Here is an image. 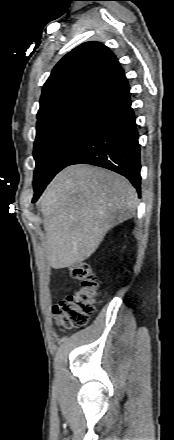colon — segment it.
<instances>
[{
    "label": "colon",
    "mask_w": 174,
    "mask_h": 440,
    "mask_svg": "<svg viewBox=\"0 0 174 440\" xmlns=\"http://www.w3.org/2000/svg\"><path fill=\"white\" fill-rule=\"evenodd\" d=\"M70 274L79 281V287L64 300L57 303L54 316L65 329L82 328L93 312V304L100 294L101 283L96 272L87 263H76L69 267Z\"/></svg>",
    "instance_id": "5ec220e1"
}]
</instances>
